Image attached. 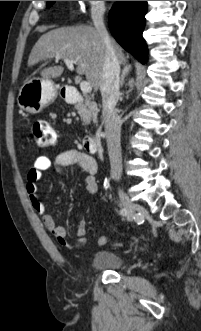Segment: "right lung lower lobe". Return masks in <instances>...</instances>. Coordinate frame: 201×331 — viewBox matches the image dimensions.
<instances>
[{
  "label": "right lung lower lobe",
  "mask_w": 201,
  "mask_h": 331,
  "mask_svg": "<svg viewBox=\"0 0 201 331\" xmlns=\"http://www.w3.org/2000/svg\"><path fill=\"white\" fill-rule=\"evenodd\" d=\"M147 1H118L109 13V28L117 42L141 63L147 59L142 33Z\"/></svg>",
  "instance_id": "right-lung-lower-lobe-1"
}]
</instances>
